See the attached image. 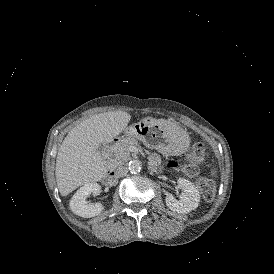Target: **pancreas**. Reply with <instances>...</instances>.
<instances>
[{"instance_id": "1", "label": "pancreas", "mask_w": 274, "mask_h": 274, "mask_svg": "<svg viewBox=\"0 0 274 274\" xmlns=\"http://www.w3.org/2000/svg\"><path fill=\"white\" fill-rule=\"evenodd\" d=\"M137 140L134 137H126L116 142L109 151H106V155L113 159V166L117 167L123 165L130 159L129 147L131 145H137Z\"/></svg>"}]
</instances>
